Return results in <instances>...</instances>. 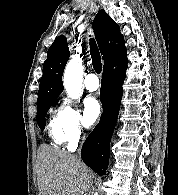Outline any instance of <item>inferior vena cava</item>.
<instances>
[{
	"mask_svg": "<svg viewBox=\"0 0 178 195\" xmlns=\"http://www.w3.org/2000/svg\"><path fill=\"white\" fill-rule=\"evenodd\" d=\"M80 150H81V146L79 147V149H78V151H77V152H78V154H76V155H75V156H76V158H79V153H80ZM79 159H80V158H79ZM93 190H94V189L92 188L90 192H93Z\"/></svg>",
	"mask_w": 178,
	"mask_h": 195,
	"instance_id": "1",
	"label": "inferior vena cava"
}]
</instances>
